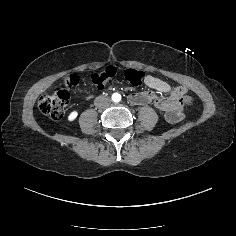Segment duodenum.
<instances>
[{
    "label": "duodenum",
    "instance_id": "1",
    "mask_svg": "<svg viewBox=\"0 0 236 236\" xmlns=\"http://www.w3.org/2000/svg\"><path fill=\"white\" fill-rule=\"evenodd\" d=\"M130 100L138 105L155 102V104L165 112L167 119L171 122H177L181 120L183 116L182 106L176 95L168 99H162L150 93H137L131 95Z\"/></svg>",
    "mask_w": 236,
    "mask_h": 236
}]
</instances>
